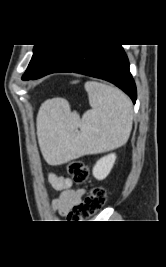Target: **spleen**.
Here are the masks:
<instances>
[{
    "label": "spleen",
    "instance_id": "3e777b00",
    "mask_svg": "<svg viewBox=\"0 0 166 267\" xmlns=\"http://www.w3.org/2000/svg\"><path fill=\"white\" fill-rule=\"evenodd\" d=\"M85 89L92 109L81 119L54 102L39 112L38 140L44 158L51 164L113 150L124 145L130 136V99L119 89L95 81L85 83Z\"/></svg>",
    "mask_w": 166,
    "mask_h": 267
}]
</instances>
